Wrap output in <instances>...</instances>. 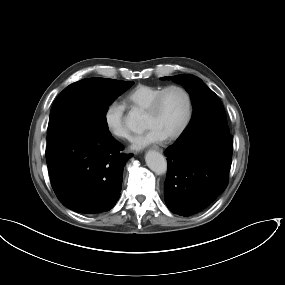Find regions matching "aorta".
<instances>
[{
    "mask_svg": "<svg viewBox=\"0 0 285 285\" xmlns=\"http://www.w3.org/2000/svg\"><path fill=\"white\" fill-rule=\"evenodd\" d=\"M142 122L141 115L137 111H130L125 118V124L130 129H135ZM147 166L158 175L167 171V161L165 157L156 151H148L145 155Z\"/></svg>",
    "mask_w": 285,
    "mask_h": 285,
    "instance_id": "aorta-1",
    "label": "aorta"
}]
</instances>
